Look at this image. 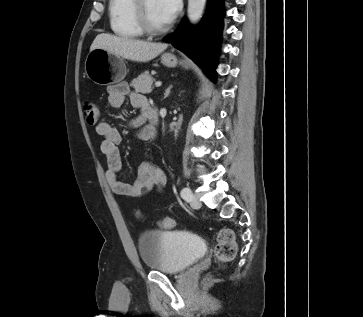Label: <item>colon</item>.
<instances>
[{
    "label": "colon",
    "instance_id": "obj_1",
    "mask_svg": "<svg viewBox=\"0 0 363 317\" xmlns=\"http://www.w3.org/2000/svg\"><path fill=\"white\" fill-rule=\"evenodd\" d=\"M86 122L90 126L98 124L99 109L93 102H86L83 106ZM138 215H140L138 213ZM160 225L165 229L175 227L176 221L172 217H164ZM237 253V244L233 232L228 228H223L217 233V244L215 246V258L219 263L225 264L234 260Z\"/></svg>",
    "mask_w": 363,
    "mask_h": 317
}]
</instances>
